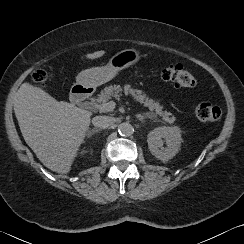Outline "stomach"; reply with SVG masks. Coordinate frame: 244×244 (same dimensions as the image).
<instances>
[{"instance_id": "1", "label": "stomach", "mask_w": 244, "mask_h": 244, "mask_svg": "<svg viewBox=\"0 0 244 244\" xmlns=\"http://www.w3.org/2000/svg\"><path fill=\"white\" fill-rule=\"evenodd\" d=\"M140 51L131 48L114 54L106 66L83 70L76 77L75 86L96 88L112 80L120 71L134 65L141 59Z\"/></svg>"}]
</instances>
